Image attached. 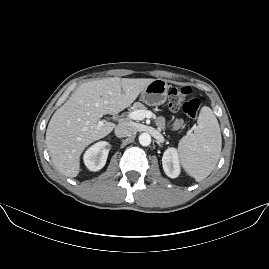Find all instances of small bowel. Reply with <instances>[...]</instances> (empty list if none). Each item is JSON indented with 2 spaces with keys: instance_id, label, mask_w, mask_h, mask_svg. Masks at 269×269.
Here are the masks:
<instances>
[{
  "instance_id": "1",
  "label": "small bowel",
  "mask_w": 269,
  "mask_h": 269,
  "mask_svg": "<svg viewBox=\"0 0 269 269\" xmlns=\"http://www.w3.org/2000/svg\"><path fill=\"white\" fill-rule=\"evenodd\" d=\"M161 122H162V120H161ZM181 124H182V121L181 120H177V121H175L174 126L175 127H180Z\"/></svg>"
}]
</instances>
